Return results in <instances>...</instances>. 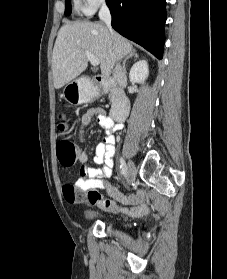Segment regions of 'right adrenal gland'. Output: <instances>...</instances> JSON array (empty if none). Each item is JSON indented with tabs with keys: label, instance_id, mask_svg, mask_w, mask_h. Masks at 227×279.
Returning <instances> with one entry per match:
<instances>
[{
	"label": "right adrenal gland",
	"instance_id": "2a0ac1e0",
	"mask_svg": "<svg viewBox=\"0 0 227 279\" xmlns=\"http://www.w3.org/2000/svg\"><path fill=\"white\" fill-rule=\"evenodd\" d=\"M132 57H134L136 59L139 57V55L136 53L135 50L131 51V53H129L123 61V71H124V73H126V62Z\"/></svg>",
	"mask_w": 227,
	"mask_h": 279
}]
</instances>
